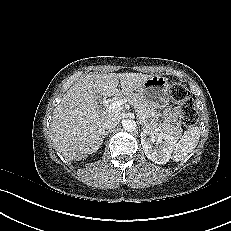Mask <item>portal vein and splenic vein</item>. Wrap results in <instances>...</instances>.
Instances as JSON below:
<instances>
[{"instance_id": "portal-vein-and-splenic-vein-1", "label": "portal vein and splenic vein", "mask_w": 231, "mask_h": 231, "mask_svg": "<svg viewBox=\"0 0 231 231\" xmlns=\"http://www.w3.org/2000/svg\"><path fill=\"white\" fill-rule=\"evenodd\" d=\"M127 102V100L125 99H119L117 101H114L113 103H111L110 105H108V112L109 113H117L120 110L123 109V105Z\"/></svg>"}]
</instances>
